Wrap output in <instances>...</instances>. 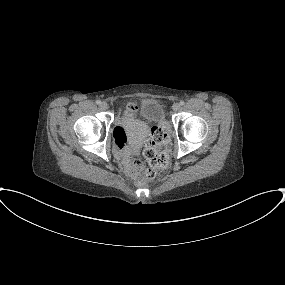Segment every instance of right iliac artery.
<instances>
[{"label": "right iliac artery", "mask_w": 285, "mask_h": 285, "mask_svg": "<svg viewBox=\"0 0 285 285\" xmlns=\"http://www.w3.org/2000/svg\"><path fill=\"white\" fill-rule=\"evenodd\" d=\"M96 104L100 105V104H101V101H100V100H97V101H96Z\"/></svg>", "instance_id": "82829eb1"}]
</instances>
